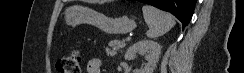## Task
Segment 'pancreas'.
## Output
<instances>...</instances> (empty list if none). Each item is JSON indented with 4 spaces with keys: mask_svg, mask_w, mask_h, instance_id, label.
<instances>
[{
    "mask_svg": "<svg viewBox=\"0 0 244 73\" xmlns=\"http://www.w3.org/2000/svg\"><path fill=\"white\" fill-rule=\"evenodd\" d=\"M124 41L119 40H113L110 41L108 44V47H106L105 51L107 55L114 56L116 55L117 51H119L121 48L125 47Z\"/></svg>",
    "mask_w": 244,
    "mask_h": 73,
    "instance_id": "1",
    "label": "pancreas"
}]
</instances>
